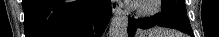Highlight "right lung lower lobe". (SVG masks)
Here are the masks:
<instances>
[{
  "instance_id": "98d812e1",
  "label": "right lung lower lobe",
  "mask_w": 219,
  "mask_h": 37,
  "mask_svg": "<svg viewBox=\"0 0 219 37\" xmlns=\"http://www.w3.org/2000/svg\"><path fill=\"white\" fill-rule=\"evenodd\" d=\"M25 37H101L109 0H23Z\"/></svg>"
}]
</instances>
